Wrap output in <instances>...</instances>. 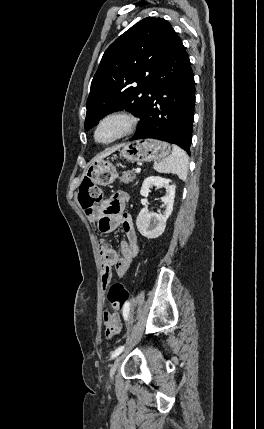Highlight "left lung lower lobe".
I'll return each mask as SVG.
<instances>
[{
  "label": "left lung lower lobe",
  "instance_id": "1",
  "mask_svg": "<svg viewBox=\"0 0 264 429\" xmlns=\"http://www.w3.org/2000/svg\"><path fill=\"white\" fill-rule=\"evenodd\" d=\"M195 106V82L189 56L172 30L145 102L136 134L174 143L190 152Z\"/></svg>",
  "mask_w": 264,
  "mask_h": 429
}]
</instances>
